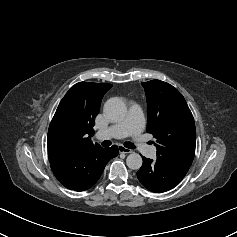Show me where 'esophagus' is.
I'll use <instances>...</instances> for the list:
<instances>
[{"label": "esophagus", "instance_id": "34e87169", "mask_svg": "<svg viewBox=\"0 0 237 237\" xmlns=\"http://www.w3.org/2000/svg\"><path fill=\"white\" fill-rule=\"evenodd\" d=\"M119 152H120V153H125V154H130V153H132L133 151L130 150V149H128V148H126V147H124V146H119Z\"/></svg>", "mask_w": 237, "mask_h": 237}]
</instances>
